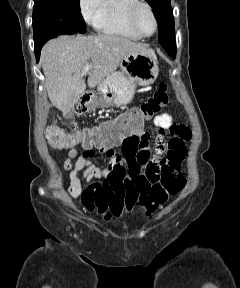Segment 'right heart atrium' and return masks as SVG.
Wrapping results in <instances>:
<instances>
[{
    "label": "right heart atrium",
    "mask_w": 240,
    "mask_h": 288,
    "mask_svg": "<svg viewBox=\"0 0 240 288\" xmlns=\"http://www.w3.org/2000/svg\"><path fill=\"white\" fill-rule=\"evenodd\" d=\"M104 0H79L80 12L84 20L93 26H96L103 8Z\"/></svg>",
    "instance_id": "right-heart-atrium-1"
}]
</instances>
